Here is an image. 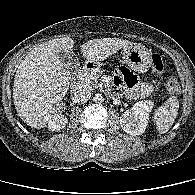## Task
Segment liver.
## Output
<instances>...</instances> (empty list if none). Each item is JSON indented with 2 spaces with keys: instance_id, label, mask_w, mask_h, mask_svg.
<instances>
[{
  "instance_id": "obj_1",
  "label": "liver",
  "mask_w": 195,
  "mask_h": 195,
  "mask_svg": "<svg viewBox=\"0 0 195 195\" xmlns=\"http://www.w3.org/2000/svg\"><path fill=\"white\" fill-rule=\"evenodd\" d=\"M133 42L117 38L89 40L80 45L90 62L107 59ZM70 37L49 40L32 49L15 73L13 100L19 117L37 129L46 127L58 114L69 88V76L58 54L72 51Z\"/></svg>"
}]
</instances>
